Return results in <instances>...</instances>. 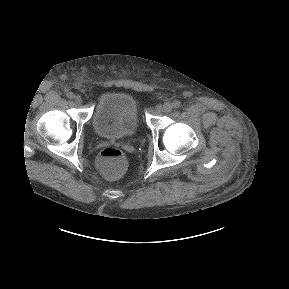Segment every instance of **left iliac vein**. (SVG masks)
Listing matches in <instances>:
<instances>
[{"label":"left iliac vein","instance_id":"4c4485c4","mask_svg":"<svg viewBox=\"0 0 289 289\" xmlns=\"http://www.w3.org/2000/svg\"><path fill=\"white\" fill-rule=\"evenodd\" d=\"M161 110L165 113H168L172 110V104L169 102H166L162 105Z\"/></svg>","mask_w":289,"mask_h":289}]
</instances>
